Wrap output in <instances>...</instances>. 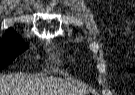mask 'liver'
I'll use <instances>...</instances> for the list:
<instances>
[{
  "mask_svg": "<svg viewBox=\"0 0 135 95\" xmlns=\"http://www.w3.org/2000/svg\"><path fill=\"white\" fill-rule=\"evenodd\" d=\"M81 86L62 79L39 78L23 73L0 74V95H81Z\"/></svg>",
  "mask_w": 135,
  "mask_h": 95,
  "instance_id": "6515ba94",
  "label": "liver"
}]
</instances>
